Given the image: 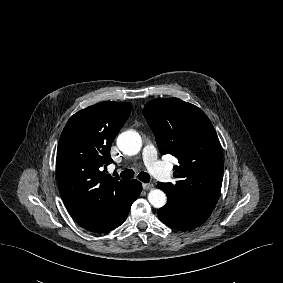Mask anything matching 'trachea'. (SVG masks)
Returning <instances> with one entry per match:
<instances>
[{"label":"trachea","instance_id":"3493384b","mask_svg":"<svg viewBox=\"0 0 283 283\" xmlns=\"http://www.w3.org/2000/svg\"><path fill=\"white\" fill-rule=\"evenodd\" d=\"M120 177L123 179H132L134 177V171L131 169H126L121 172ZM138 179L144 183H148L150 181V175L146 172H141L138 174Z\"/></svg>","mask_w":283,"mask_h":283}]
</instances>
